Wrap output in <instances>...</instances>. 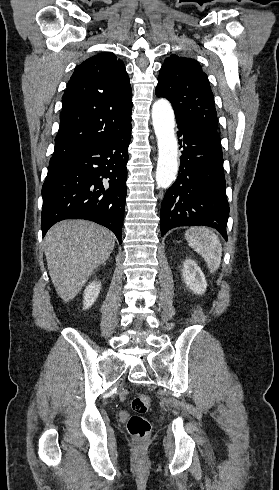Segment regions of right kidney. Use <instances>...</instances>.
<instances>
[{
  "label": "right kidney",
  "instance_id": "1",
  "mask_svg": "<svg viewBox=\"0 0 279 490\" xmlns=\"http://www.w3.org/2000/svg\"><path fill=\"white\" fill-rule=\"evenodd\" d=\"M101 290V282H90L83 294V310H88L96 302Z\"/></svg>",
  "mask_w": 279,
  "mask_h": 490
}]
</instances>
